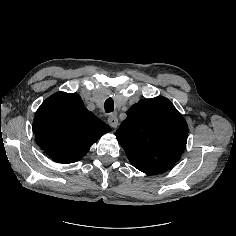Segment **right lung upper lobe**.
Listing matches in <instances>:
<instances>
[{"label": "right lung upper lobe", "mask_w": 236, "mask_h": 236, "mask_svg": "<svg viewBox=\"0 0 236 236\" xmlns=\"http://www.w3.org/2000/svg\"><path fill=\"white\" fill-rule=\"evenodd\" d=\"M33 131L50 158L67 164L79 161L111 128L85 108L79 95L58 92L39 107Z\"/></svg>", "instance_id": "cb5924a9"}]
</instances>
